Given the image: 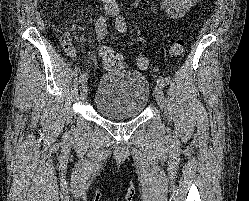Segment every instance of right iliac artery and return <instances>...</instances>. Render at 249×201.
Returning <instances> with one entry per match:
<instances>
[{
	"label": "right iliac artery",
	"mask_w": 249,
	"mask_h": 201,
	"mask_svg": "<svg viewBox=\"0 0 249 201\" xmlns=\"http://www.w3.org/2000/svg\"><path fill=\"white\" fill-rule=\"evenodd\" d=\"M96 33L99 38H104L107 34V27H106V19L104 17H100L96 23ZM88 74L84 73L80 76V82L83 83L87 81Z\"/></svg>",
	"instance_id": "obj_1"
}]
</instances>
